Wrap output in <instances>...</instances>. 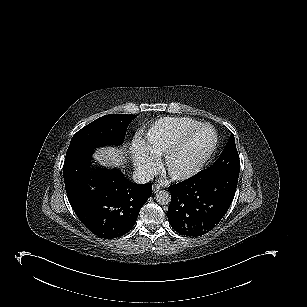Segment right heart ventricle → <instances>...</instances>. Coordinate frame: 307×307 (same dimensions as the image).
Segmentation results:
<instances>
[{"label": "right heart ventricle", "instance_id": "1", "mask_svg": "<svg viewBox=\"0 0 307 307\" xmlns=\"http://www.w3.org/2000/svg\"><path fill=\"white\" fill-rule=\"evenodd\" d=\"M192 125L193 122L185 118H168L159 121L149 137L152 152L168 153L177 141L192 129Z\"/></svg>", "mask_w": 307, "mask_h": 307}]
</instances>
